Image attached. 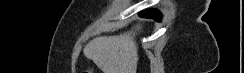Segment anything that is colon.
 I'll list each match as a JSON object with an SVG mask.
<instances>
[{
    "instance_id": "obj_1",
    "label": "colon",
    "mask_w": 244,
    "mask_h": 73,
    "mask_svg": "<svg viewBox=\"0 0 244 73\" xmlns=\"http://www.w3.org/2000/svg\"><path fill=\"white\" fill-rule=\"evenodd\" d=\"M92 71L91 70H87L86 72H84V73H91Z\"/></svg>"
}]
</instances>
